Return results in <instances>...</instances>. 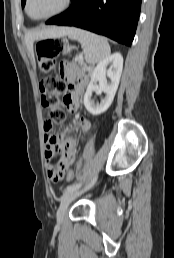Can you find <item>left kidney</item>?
Returning a JSON list of instances; mask_svg holds the SVG:
<instances>
[{
  "label": "left kidney",
  "instance_id": "5707ae66",
  "mask_svg": "<svg viewBox=\"0 0 174 258\" xmlns=\"http://www.w3.org/2000/svg\"><path fill=\"white\" fill-rule=\"evenodd\" d=\"M108 64H111L109 70H107ZM122 69L123 57L120 53H114L103 59L94 68L91 81L84 95V106L89 113L99 115L110 107L119 85ZM107 77L110 79L109 83ZM96 82H99V85H96ZM93 91L104 92L106 96L100 103H94L91 99Z\"/></svg>",
  "mask_w": 174,
  "mask_h": 258
}]
</instances>
